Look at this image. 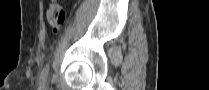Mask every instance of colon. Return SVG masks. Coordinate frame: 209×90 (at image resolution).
Here are the masks:
<instances>
[{"mask_svg":"<svg viewBox=\"0 0 209 90\" xmlns=\"http://www.w3.org/2000/svg\"><path fill=\"white\" fill-rule=\"evenodd\" d=\"M47 20L49 25L54 29H60L66 21V12L59 2H52L47 9Z\"/></svg>","mask_w":209,"mask_h":90,"instance_id":"5ec220e1","label":"colon"}]
</instances>
